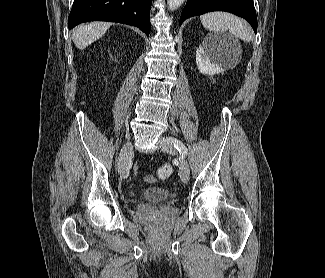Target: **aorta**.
Returning a JSON list of instances; mask_svg holds the SVG:
<instances>
[{"label":"aorta","mask_w":325,"mask_h":278,"mask_svg":"<svg viewBox=\"0 0 325 278\" xmlns=\"http://www.w3.org/2000/svg\"><path fill=\"white\" fill-rule=\"evenodd\" d=\"M185 0H167L168 9L175 10L180 7Z\"/></svg>","instance_id":"aorta-1"}]
</instances>
